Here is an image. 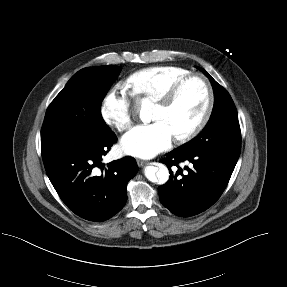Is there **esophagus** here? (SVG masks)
Wrapping results in <instances>:
<instances>
[{
    "mask_svg": "<svg viewBox=\"0 0 287 287\" xmlns=\"http://www.w3.org/2000/svg\"><path fill=\"white\" fill-rule=\"evenodd\" d=\"M137 164L139 167H143L145 165H148L147 161L141 160V159H137Z\"/></svg>",
    "mask_w": 287,
    "mask_h": 287,
    "instance_id": "obj_1",
    "label": "esophagus"
}]
</instances>
